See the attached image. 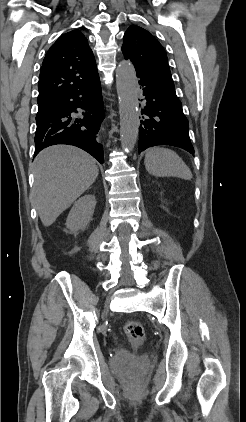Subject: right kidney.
Returning a JSON list of instances; mask_svg holds the SVG:
<instances>
[{"label": "right kidney", "instance_id": "1", "mask_svg": "<svg viewBox=\"0 0 246 422\" xmlns=\"http://www.w3.org/2000/svg\"><path fill=\"white\" fill-rule=\"evenodd\" d=\"M96 206L94 195H84L79 198L70 210L66 227L70 233H77L78 230L85 228L92 220V216Z\"/></svg>", "mask_w": 246, "mask_h": 422}]
</instances>
